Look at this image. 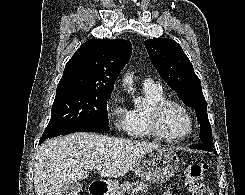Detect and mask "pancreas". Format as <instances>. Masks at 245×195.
<instances>
[{"instance_id":"pancreas-1","label":"pancreas","mask_w":245,"mask_h":195,"mask_svg":"<svg viewBox=\"0 0 245 195\" xmlns=\"http://www.w3.org/2000/svg\"><path fill=\"white\" fill-rule=\"evenodd\" d=\"M149 184L145 182H134V183H129L126 182L124 184H121L120 186L116 187L110 195H134L133 189H136L137 191L135 194L140 191L141 193H146L149 190Z\"/></svg>"}]
</instances>
